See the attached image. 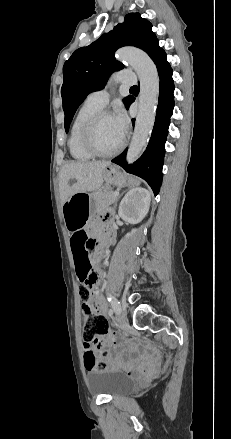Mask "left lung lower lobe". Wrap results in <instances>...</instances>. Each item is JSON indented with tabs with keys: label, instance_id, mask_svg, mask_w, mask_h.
<instances>
[{
	"label": "left lung lower lobe",
	"instance_id": "obj_1",
	"mask_svg": "<svg viewBox=\"0 0 231 439\" xmlns=\"http://www.w3.org/2000/svg\"><path fill=\"white\" fill-rule=\"evenodd\" d=\"M160 77L159 101L156 112V119L152 135L143 155L132 165L127 166L125 156L127 149L118 157L112 160L123 167L128 173L134 174L146 180L152 188L155 196L158 194L162 182V166L165 154V142L170 124V117L174 108V84L172 69L167 62L166 53L161 50L154 58ZM134 101L129 98L126 108ZM134 124V119L132 120Z\"/></svg>",
	"mask_w": 231,
	"mask_h": 439
}]
</instances>
